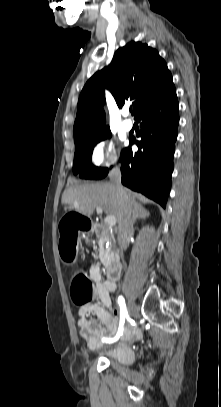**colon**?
<instances>
[{
	"label": "colon",
	"instance_id": "obj_1",
	"mask_svg": "<svg viewBox=\"0 0 221 407\" xmlns=\"http://www.w3.org/2000/svg\"><path fill=\"white\" fill-rule=\"evenodd\" d=\"M61 251L63 258L71 262L76 250V239H90L92 236L88 225L91 223L90 216H80L78 210L67 212V216H60ZM91 229H96V224H91ZM93 285L90 278L84 273L75 274L71 284V296L79 305H85L92 297Z\"/></svg>",
	"mask_w": 221,
	"mask_h": 407
}]
</instances>
